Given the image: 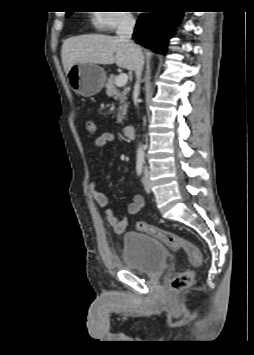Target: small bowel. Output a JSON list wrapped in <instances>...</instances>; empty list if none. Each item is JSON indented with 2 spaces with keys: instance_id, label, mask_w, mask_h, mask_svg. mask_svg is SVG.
Wrapping results in <instances>:
<instances>
[{
  "instance_id": "obj_1",
  "label": "small bowel",
  "mask_w": 254,
  "mask_h": 355,
  "mask_svg": "<svg viewBox=\"0 0 254 355\" xmlns=\"http://www.w3.org/2000/svg\"><path fill=\"white\" fill-rule=\"evenodd\" d=\"M115 140V135L112 133H102L96 137L94 140L95 149H102L109 143ZM90 194L96 203L104 209L106 219L112 229L117 234H121L125 231L128 220L127 217H117L114 215L113 211L108 206L107 197L99 190L95 182H91L89 186ZM145 206V199L141 195H134L132 201L128 204L127 212L130 215L138 214L141 209Z\"/></svg>"
}]
</instances>
